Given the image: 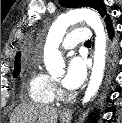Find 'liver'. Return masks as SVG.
Masks as SVG:
<instances>
[{
	"mask_svg": "<svg viewBox=\"0 0 122 123\" xmlns=\"http://www.w3.org/2000/svg\"><path fill=\"white\" fill-rule=\"evenodd\" d=\"M59 110L55 107L23 103L14 110L11 123H57Z\"/></svg>",
	"mask_w": 122,
	"mask_h": 123,
	"instance_id": "1",
	"label": "liver"
}]
</instances>
